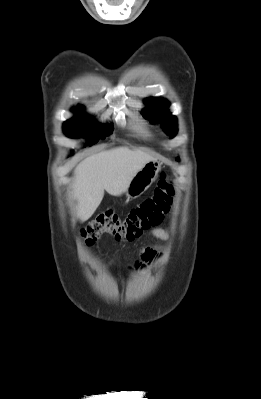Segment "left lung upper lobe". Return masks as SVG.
<instances>
[{
  "instance_id": "left-lung-upper-lobe-1",
  "label": "left lung upper lobe",
  "mask_w": 261,
  "mask_h": 399,
  "mask_svg": "<svg viewBox=\"0 0 261 399\" xmlns=\"http://www.w3.org/2000/svg\"><path fill=\"white\" fill-rule=\"evenodd\" d=\"M146 103L148 107L143 110V116L151 122L161 123L166 134L173 138L177 133V120L167 110L169 102L162 98H149Z\"/></svg>"
}]
</instances>
